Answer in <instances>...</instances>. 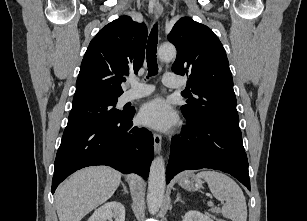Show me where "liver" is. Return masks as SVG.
Listing matches in <instances>:
<instances>
[{
	"label": "liver",
	"mask_w": 307,
	"mask_h": 221,
	"mask_svg": "<svg viewBox=\"0 0 307 221\" xmlns=\"http://www.w3.org/2000/svg\"><path fill=\"white\" fill-rule=\"evenodd\" d=\"M121 176L107 166H91L74 173L56 191L59 221H81L114 194Z\"/></svg>",
	"instance_id": "6515ba94"
}]
</instances>
